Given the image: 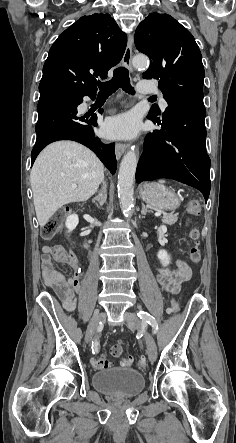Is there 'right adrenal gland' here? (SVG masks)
<instances>
[{"label": "right adrenal gland", "mask_w": 236, "mask_h": 443, "mask_svg": "<svg viewBox=\"0 0 236 443\" xmlns=\"http://www.w3.org/2000/svg\"><path fill=\"white\" fill-rule=\"evenodd\" d=\"M107 199V191L106 186L104 185V191L103 193H100L98 196H95L93 198V202L97 201L99 203V206L102 207Z\"/></svg>", "instance_id": "right-adrenal-gland-1"}]
</instances>
